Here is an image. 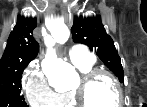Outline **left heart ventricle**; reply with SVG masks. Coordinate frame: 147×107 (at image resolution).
<instances>
[{"label": "left heart ventricle", "mask_w": 147, "mask_h": 107, "mask_svg": "<svg viewBox=\"0 0 147 107\" xmlns=\"http://www.w3.org/2000/svg\"><path fill=\"white\" fill-rule=\"evenodd\" d=\"M78 82L79 80L74 87ZM86 100L90 107H113L118 102L117 90L107 77L101 76L88 87Z\"/></svg>", "instance_id": "obj_1"}]
</instances>
